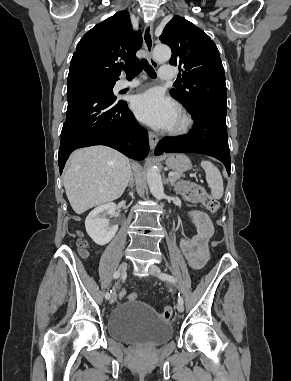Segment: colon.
Masks as SVG:
<instances>
[{"instance_id": "colon-1", "label": "colon", "mask_w": 291, "mask_h": 381, "mask_svg": "<svg viewBox=\"0 0 291 381\" xmlns=\"http://www.w3.org/2000/svg\"><path fill=\"white\" fill-rule=\"evenodd\" d=\"M179 193L191 203H201L206 210L211 214H216L219 210V202L216 198L207 193L205 188L199 184L193 182H182L178 186ZM82 254L84 256L88 255L87 244L84 240H81L79 243ZM216 245V242L213 243ZM121 298L127 296L128 300L134 301L137 300L138 296L136 293H129L126 295L124 291L119 292ZM173 309L171 306H165L161 311V317L163 319L169 320L172 317Z\"/></svg>"}]
</instances>
